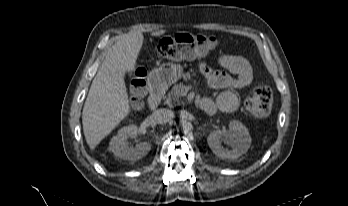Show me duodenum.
<instances>
[{"mask_svg": "<svg viewBox=\"0 0 348 206\" xmlns=\"http://www.w3.org/2000/svg\"><path fill=\"white\" fill-rule=\"evenodd\" d=\"M149 89V108L151 110H155L158 108L162 97L164 96L165 89L162 84L154 77L149 80Z\"/></svg>", "mask_w": 348, "mask_h": 206, "instance_id": "obj_1", "label": "duodenum"}]
</instances>
